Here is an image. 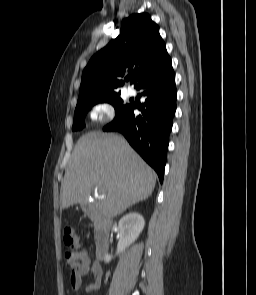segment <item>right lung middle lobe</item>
I'll list each match as a JSON object with an SVG mask.
<instances>
[{"instance_id": "right-lung-middle-lobe-1", "label": "right lung middle lobe", "mask_w": 256, "mask_h": 295, "mask_svg": "<svg viewBox=\"0 0 256 295\" xmlns=\"http://www.w3.org/2000/svg\"><path fill=\"white\" fill-rule=\"evenodd\" d=\"M107 102L114 106L116 110V116L123 113L130 104H123V100L119 95L105 97V98H84L78 100L75 113L72 130L77 131L85 127L84 119L86 113L91 109V107L97 103Z\"/></svg>"}]
</instances>
